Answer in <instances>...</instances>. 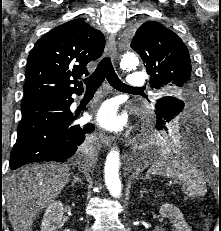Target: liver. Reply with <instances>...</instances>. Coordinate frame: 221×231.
<instances>
[{
	"label": "liver",
	"mask_w": 221,
	"mask_h": 231,
	"mask_svg": "<svg viewBox=\"0 0 221 231\" xmlns=\"http://www.w3.org/2000/svg\"><path fill=\"white\" fill-rule=\"evenodd\" d=\"M64 164H33L11 174L4 185L9 221L14 231H31L39 212L52 203L70 180Z\"/></svg>",
	"instance_id": "6515ba94"
}]
</instances>
